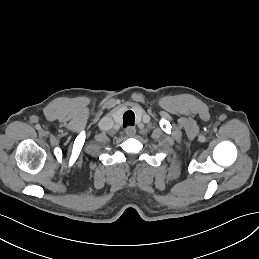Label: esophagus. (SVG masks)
<instances>
[{
	"label": "esophagus",
	"instance_id": "1",
	"mask_svg": "<svg viewBox=\"0 0 259 259\" xmlns=\"http://www.w3.org/2000/svg\"><path fill=\"white\" fill-rule=\"evenodd\" d=\"M135 134H136V129H135V127L129 126V127L126 128V135H127L128 137H134Z\"/></svg>",
	"mask_w": 259,
	"mask_h": 259
}]
</instances>
